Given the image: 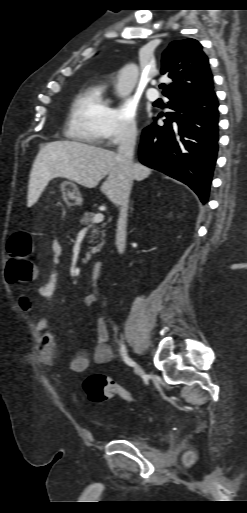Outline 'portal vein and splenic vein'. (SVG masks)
Masks as SVG:
<instances>
[{"mask_svg":"<svg viewBox=\"0 0 247 513\" xmlns=\"http://www.w3.org/2000/svg\"><path fill=\"white\" fill-rule=\"evenodd\" d=\"M104 220V214L103 213H97L93 217L92 224L93 223H100Z\"/></svg>","mask_w":247,"mask_h":513,"instance_id":"18ae733b","label":"portal vein and splenic vein"}]
</instances>
